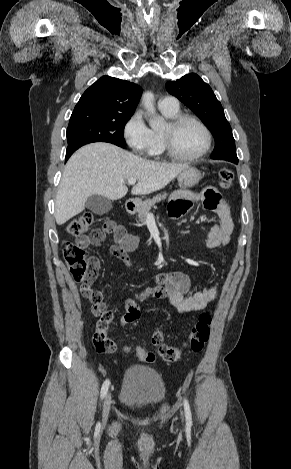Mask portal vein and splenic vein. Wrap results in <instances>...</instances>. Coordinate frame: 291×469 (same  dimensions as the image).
Wrapping results in <instances>:
<instances>
[{"instance_id": "18ae733b", "label": "portal vein and splenic vein", "mask_w": 291, "mask_h": 469, "mask_svg": "<svg viewBox=\"0 0 291 469\" xmlns=\"http://www.w3.org/2000/svg\"><path fill=\"white\" fill-rule=\"evenodd\" d=\"M128 183L131 184V185H134L136 183V179L131 178V179L128 180Z\"/></svg>"}]
</instances>
